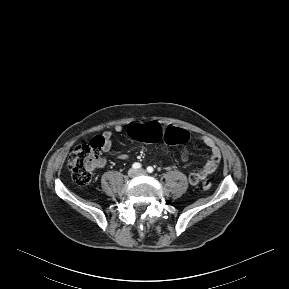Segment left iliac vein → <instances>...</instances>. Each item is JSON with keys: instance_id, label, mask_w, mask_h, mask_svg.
<instances>
[{"instance_id": "obj_1", "label": "left iliac vein", "mask_w": 289, "mask_h": 289, "mask_svg": "<svg viewBox=\"0 0 289 289\" xmlns=\"http://www.w3.org/2000/svg\"><path fill=\"white\" fill-rule=\"evenodd\" d=\"M138 174H139V175H145V174H146V171L143 170V169H141V170L138 171Z\"/></svg>"}]
</instances>
